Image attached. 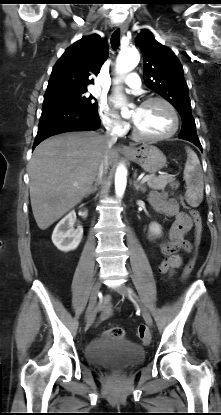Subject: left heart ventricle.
Here are the masks:
<instances>
[{"label": "left heart ventricle", "instance_id": "left-heart-ventricle-1", "mask_svg": "<svg viewBox=\"0 0 221 415\" xmlns=\"http://www.w3.org/2000/svg\"><path fill=\"white\" fill-rule=\"evenodd\" d=\"M131 116L138 129L147 135H162L173 127L170 111L159 102L139 106L133 110Z\"/></svg>", "mask_w": 221, "mask_h": 415}]
</instances>
